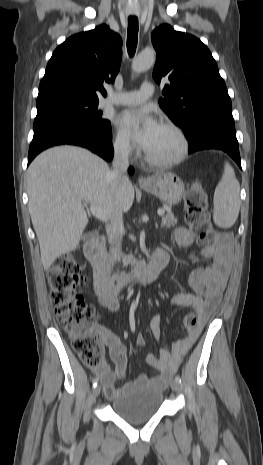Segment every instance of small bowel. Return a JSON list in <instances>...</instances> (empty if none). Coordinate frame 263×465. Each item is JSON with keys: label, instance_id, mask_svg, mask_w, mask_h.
Instances as JSON below:
<instances>
[{"label": "small bowel", "instance_id": "1", "mask_svg": "<svg viewBox=\"0 0 263 465\" xmlns=\"http://www.w3.org/2000/svg\"><path fill=\"white\" fill-rule=\"evenodd\" d=\"M175 241L180 246H188L193 242L192 233L186 228H178L175 232ZM162 252L166 251L160 249L155 255ZM200 253L203 257L211 259L212 263L203 269H195L190 272L188 283L195 294L173 295L168 301L170 306L194 309L199 316V325L196 329L190 331L185 338L176 341L170 350H161L159 356L153 353H149L146 356L147 364L152 369L159 372L158 376L149 378L146 375H140L136 380L128 382L122 388H116L115 382L122 380L125 376L127 367L126 349L114 334L105 329H99L109 349L110 358L115 365L114 370L108 365H103L101 368L95 370V373L101 379L107 398H117L124 392L135 387L146 386L159 391L163 390L167 386L172 375L177 371L183 357L198 339L206 321L220 303L226 287L230 267L229 240L223 237L215 244L203 247ZM98 299L101 306L115 312L119 311L120 302L117 295L106 296L99 293ZM161 317L162 313L159 311L155 313L150 320V329L156 339L160 338ZM136 345L139 347L145 345V338L143 335H137Z\"/></svg>", "mask_w": 263, "mask_h": 465}]
</instances>
